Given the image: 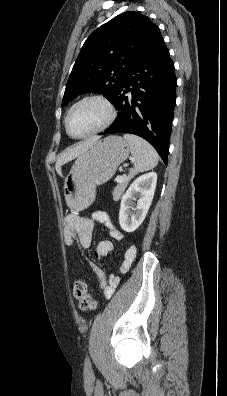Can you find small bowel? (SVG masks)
Returning a JSON list of instances; mask_svg holds the SVG:
<instances>
[{
	"label": "small bowel",
	"mask_w": 227,
	"mask_h": 396,
	"mask_svg": "<svg viewBox=\"0 0 227 396\" xmlns=\"http://www.w3.org/2000/svg\"><path fill=\"white\" fill-rule=\"evenodd\" d=\"M94 222L102 224L109 232L112 239L119 241L123 238L122 233L113 225L107 213L96 211L91 218H83L77 214H71L67 217L68 232L66 235V244L74 246L78 243L83 248H89L92 243V233ZM113 250V243L109 240L100 241L94 251L96 259L102 260L108 253ZM136 246L132 245L125 253V257L120 265V271L126 272L131 266L136 255ZM91 269L107 298L111 297L119 284V277L115 275L106 276L105 273L97 266L91 265Z\"/></svg>",
	"instance_id": "small-bowel-1"
}]
</instances>
